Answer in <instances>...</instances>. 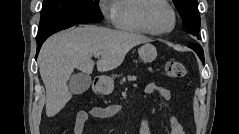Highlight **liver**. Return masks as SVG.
<instances>
[{"label":"liver","mask_w":239,"mask_h":134,"mask_svg":"<svg viewBox=\"0 0 239 134\" xmlns=\"http://www.w3.org/2000/svg\"><path fill=\"white\" fill-rule=\"evenodd\" d=\"M138 33L112 30L92 25L79 26L59 32L46 40L39 55V71L46 88V115L53 117L72 98L67 82L75 68L91 74L95 52L99 72L120 66L133 47L150 42Z\"/></svg>","instance_id":"liver-1"}]
</instances>
